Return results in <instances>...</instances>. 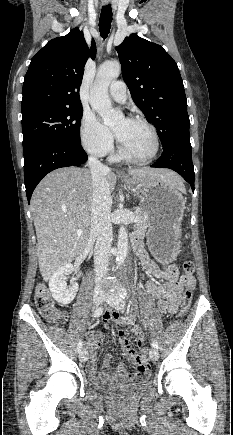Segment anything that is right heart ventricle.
I'll use <instances>...</instances> for the list:
<instances>
[{
	"mask_svg": "<svg viewBox=\"0 0 233 435\" xmlns=\"http://www.w3.org/2000/svg\"><path fill=\"white\" fill-rule=\"evenodd\" d=\"M119 159H120V157H119L118 154H113L112 157H111L112 161H118Z\"/></svg>",
	"mask_w": 233,
	"mask_h": 435,
	"instance_id": "right-heart-ventricle-1",
	"label": "right heart ventricle"
}]
</instances>
